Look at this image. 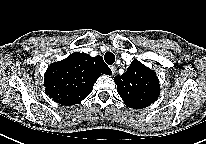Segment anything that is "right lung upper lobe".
Listing matches in <instances>:
<instances>
[{
	"instance_id": "obj_1",
	"label": "right lung upper lobe",
	"mask_w": 206,
	"mask_h": 144,
	"mask_svg": "<svg viewBox=\"0 0 206 144\" xmlns=\"http://www.w3.org/2000/svg\"><path fill=\"white\" fill-rule=\"evenodd\" d=\"M112 71L100 55L91 57L74 52L66 59L51 64L44 76L45 91L50 98L62 105H74L85 99L96 80Z\"/></svg>"
}]
</instances>
